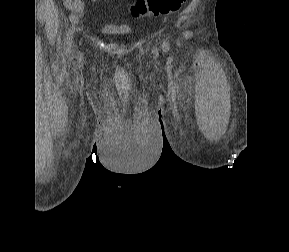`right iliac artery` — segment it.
<instances>
[{
    "instance_id": "obj_1",
    "label": "right iliac artery",
    "mask_w": 289,
    "mask_h": 252,
    "mask_svg": "<svg viewBox=\"0 0 289 252\" xmlns=\"http://www.w3.org/2000/svg\"><path fill=\"white\" fill-rule=\"evenodd\" d=\"M72 21H73L72 26L70 27V29H69V31L67 33V37H66V45H67L68 49L71 46L73 34L75 32V23H76V21H75L74 17H72Z\"/></svg>"
}]
</instances>
